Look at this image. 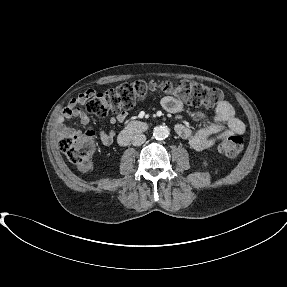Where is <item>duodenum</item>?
Masks as SVG:
<instances>
[{
    "label": "duodenum",
    "mask_w": 287,
    "mask_h": 287,
    "mask_svg": "<svg viewBox=\"0 0 287 287\" xmlns=\"http://www.w3.org/2000/svg\"><path fill=\"white\" fill-rule=\"evenodd\" d=\"M146 130L147 124L145 122L133 120L129 122L121 131L118 137V141L121 145H125L129 142L132 136L143 133Z\"/></svg>",
    "instance_id": "1"
}]
</instances>
